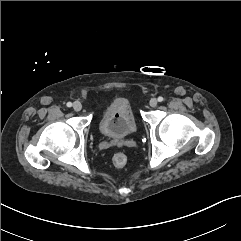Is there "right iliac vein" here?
<instances>
[{
  "instance_id": "1",
  "label": "right iliac vein",
  "mask_w": 241,
  "mask_h": 241,
  "mask_svg": "<svg viewBox=\"0 0 241 241\" xmlns=\"http://www.w3.org/2000/svg\"><path fill=\"white\" fill-rule=\"evenodd\" d=\"M73 109L77 112L80 111L82 109V104L79 101L74 102Z\"/></svg>"
}]
</instances>
